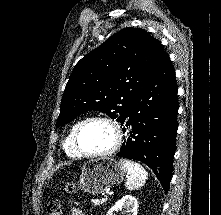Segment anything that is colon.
Masks as SVG:
<instances>
[{
	"mask_svg": "<svg viewBox=\"0 0 221 215\" xmlns=\"http://www.w3.org/2000/svg\"><path fill=\"white\" fill-rule=\"evenodd\" d=\"M66 191L68 193L74 192V184L71 182L67 183ZM47 211H48V215H63V207L61 204H58V203L49 204Z\"/></svg>",
	"mask_w": 221,
	"mask_h": 215,
	"instance_id": "5ec220e1",
	"label": "colon"
}]
</instances>
